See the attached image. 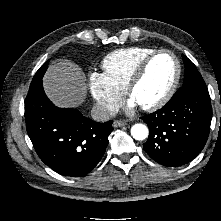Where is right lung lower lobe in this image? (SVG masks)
<instances>
[{
    "instance_id": "98d812e1",
    "label": "right lung lower lobe",
    "mask_w": 221,
    "mask_h": 221,
    "mask_svg": "<svg viewBox=\"0 0 221 221\" xmlns=\"http://www.w3.org/2000/svg\"><path fill=\"white\" fill-rule=\"evenodd\" d=\"M28 135L41 160L59 174L83 176L100 161L113 131L112 121L98 123L72 108L56 107L42 81L30 85L25 99Z\"/></svg>"
}]
</instances>
